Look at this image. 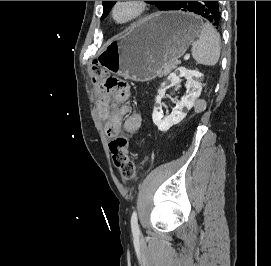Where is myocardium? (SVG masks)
I'll return each instance as SVG.
<instances>
[{
  "label": "myocardium",
  "mask_w": 271,
  "mask_h": 266,
  "mask_svg": "<svg viewBox=\"0 0 271 266\" xmlns=\"http://www.w3.org/2000/svg\"><path fill=\"white\" fill-rule=\"evenodd\" d=\"M122 5H130L133 7V11L128 18L119 19L117 17V10ZM147 10V1H115L110 10V18L116 25H131L141 20L146 15Z\"/></svg>",
  "instance_id": "f54148a6"
}]
</instances>
